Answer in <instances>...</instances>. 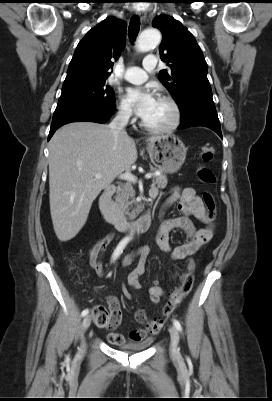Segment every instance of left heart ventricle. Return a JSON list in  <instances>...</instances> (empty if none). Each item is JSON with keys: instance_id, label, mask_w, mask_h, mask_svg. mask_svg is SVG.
I'll return each mask as SVG.
<instances>
[{"instance_id": "b2bd125f", "label": "left heart ventricle", "mask_w": 272, "mask_h": 401, "mask_svg": "<svg viewBox=\"0 0 272 401\" xmlns=\"http://www.w3.org/2000/svg\"><path fill=\"white\" fill-rule=\"evenodd\" d=\"M173 112L171 106L164 100L156 98L155 103L143 121L150 126H166L172 120Z\"/></svg>"}]
</instances>
